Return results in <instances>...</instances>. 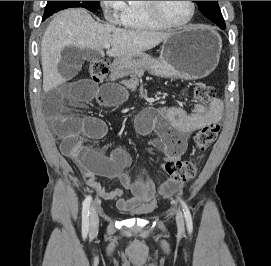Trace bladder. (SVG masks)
Listing matches in <instances>:
<instances>
[{
    "mask_svg": "<svg viewBox=\"0 0 271 266\" xmlns=\"http://www.w3.org/2000/svg\"><path fill=\"white\" fill-rule=\"evenodd\" d=\"M133 216H145L147 212L145 209H138L132 213Z\"/></svg>",
    "mask_w": 271,
    "mask_h": 266,
    "instance_id": "bladder-1",
    "label": "bladder"
}]
</instances>
